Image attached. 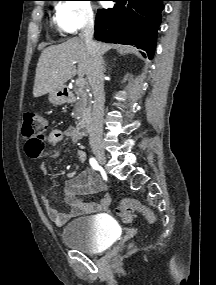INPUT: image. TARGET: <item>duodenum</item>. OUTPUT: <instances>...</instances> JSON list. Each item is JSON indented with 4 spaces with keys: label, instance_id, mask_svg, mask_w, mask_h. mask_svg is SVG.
Instances as JSON below:
<instances>
[{
    "label": "duodenum",
    "instance_id": "1",
    "mask_svg": "<svg viewBox=\"0 0 216 285\" xmlns=\"http://www.w3.org/2000/svg\"><path fill=\"white\" fill-rule=\"evenodd\" d=\"M65 98H69V93L67 91H64L63 93ZM77 129L82 135H87L90 133L92 129V116L91 113H87L85 116L81 118L77 125Z\"/></svg>",
    "mask_w": 216,
    "mask_h": 285
}]
</instances>
